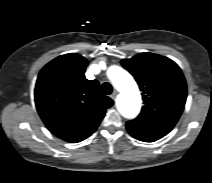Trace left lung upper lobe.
Returning a JSON list of instances; mask_svg holds the SVG:
<instances>
[{"mask_svg": "<svg viewBox=\"0 0 212 183\" xmlns=\"http://www.w3.org/2000/svg\"><path fill=\"white\" fill-rule=\"evenodd\" d=\"M121 63L135 77L144 100L140 115L126 127L165 136L178 121L187 97L180 68L167 57L147 52Z\"/></svg>", "mask_w": 212, "mask_h": 183, "instance_id": "left-lung-upper-lobe-1", "label": "left lung upper lobe"}]
</instances>
